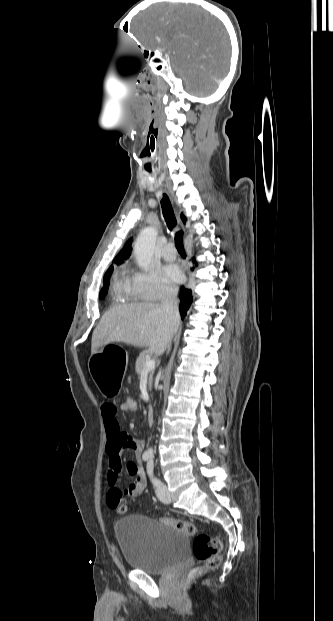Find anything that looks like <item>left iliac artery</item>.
Masks as SVG:
<instances>
[{"label": "left iliac artery", "instance_id": "1", "mask_svg": "<svg viewBox=\"0 0 333 621\" xmlns=\"http://www.w3.org/2000/svg\"><path fill=\"white\" fill-rule=\"evenodd\" d=\"M147 474L150 478V481L155 487H159L161 485V481L154 476V461L153 459H149L147 462Z\"/></svg>", "mask_w": 333, "mask_h": 621}]
</instances>
